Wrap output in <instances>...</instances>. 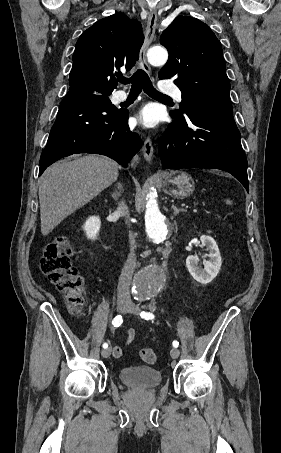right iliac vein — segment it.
<instances>
[{"label":"right iliac vein","mask_w":281,"mask_h":453,"mask_svg":"<svg viewBox=\"0 0 281 453\" xmlns=\"http://www.w3.org/2000/svg\"><path fill=\"white\" fill-rule=\"evenodd\" d=\"M129 306V301H117L116 302V307L117 309L119 310H123V309H126V307ZM111 347L110 348H106V350H102L101 351V356L102 358L104 359L105 357H110V352H111Z\"/></svg>","instance_id":"right-iliac-vein-1"}]
</instances>
